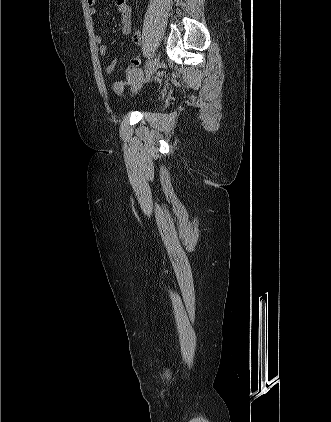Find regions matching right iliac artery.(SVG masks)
I'll list each match as a JSON object with an SVG mask.
<instances>
[{
	"label": "right iliac artery",
	"mask_w": 331,
	"mask_h": 422,
	"mask_svg": "<svg viewBox=\"0 0 331 422\" xmlns=\"http://www.w3.org/2000/svg\"><path fill=\"white\" fill-rule=\"evenodd\" d=\"M151 64H152V58H149L147 60V62L145 63L144 68L147 69L149 67V65H151Z\"/></svg>",
	"instance_id": "82829eb1"
}]
</instances>
